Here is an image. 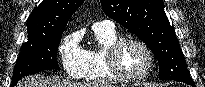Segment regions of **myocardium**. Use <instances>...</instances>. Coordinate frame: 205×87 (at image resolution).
<instances>
[{
	"label": "myocardium",
	"instance_id": "myocardium-1",
	"mask_svg": "<svg viewBox=\"0 0 205 87\" xmlns=\"http://www.w3.org/2000/svg\"><path fill=\"white\" fill-rule=\"evenodd\" d=\"M129 43H134L140 46L147 56V66L144 71L136 76L126 74L119 63V54L122 48ZM106 61L110 73L118 80L123 82H140L144 80L152 71L154 66V56L150 47L141 39L135 37L122 38L112 44L106 52Z\"/></svg>",
	"mask_w": 205,
	"mask_h": 87
}]
</instances>
